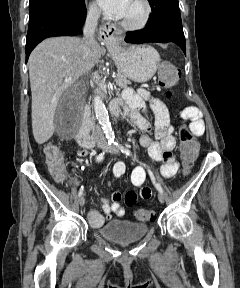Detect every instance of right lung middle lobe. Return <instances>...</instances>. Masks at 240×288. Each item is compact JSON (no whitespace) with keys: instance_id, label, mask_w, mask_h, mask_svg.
Wrapping results in <instances>:
<instances>
[{"instance_id":"1","label":"right lung middle lobe","mask_w":240,"mask_h":288,"mask_svg":"<svg viewBox=\"0 0 240 288\" xmlns=\"http://www.w3.org/2000/svg\"><path fill=\"white\" fill-rule=\"evenodd\" d=\"M84 0H30V20L54 7H78Z\"/></svg>"}]
</instances>
